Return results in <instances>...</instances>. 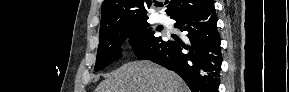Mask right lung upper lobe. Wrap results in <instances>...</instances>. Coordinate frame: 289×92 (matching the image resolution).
<instances>
[{
	"label": "right lung upper lobe",
	"mask_w": 289,
	"mask_h": 92,
	"mask_svg": "<svg viewBox=\"0 0 289 92\" xmlns=\"http://www.w3.org/2000/svg\"><path fill=\"white\" fill-rule=\"evenodd\" d=\"M208 0H172L167 6L166 13L170 17L196 9ZM168 2V1H167ZM154 0H104L102 4V15L100 31L107 29L113 24L148 19L147 8H150Z\"/></svg>",
	"instance_id": "right-lung-upper-lobe-1"
}]
</instances>
